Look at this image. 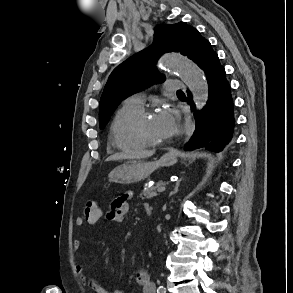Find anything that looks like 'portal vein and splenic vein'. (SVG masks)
I'll return each mask as SVG.
<instances>
[{
    "instance_id": "portal-vein-and-splenic-vein-1",
    "label": "portal vein and splenic vein",
    "mask_w": 293,
    "mask_h": 293,
    "mask_svg": "<svg viewBox=\"0 0 293 293\" xmlns=\"http://www.w3.org/2000/svg\"><path fill=\"white\" fill-rule=\"evenodd\" d=\"M166 190L165 186H161L157 189L158 192H164Z\"/></svg>"
}]
</instances>
